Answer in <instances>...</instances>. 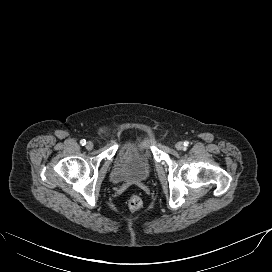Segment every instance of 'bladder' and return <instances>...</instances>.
I'll return each mask as SVG.
<instances>
[{"label":"bladder","mask_w":272,"mask_h":272,"mask_svg":"<svg viewBox=\"0 0 272 272\" xmlns=\"http://www.w3.org/2000/svg\"><path fill=\"white\" fill-rule=\"evenodd\" d=\"M152 175L150 150L141 143L128 142L118 151L111 178L115 183H142Z\"/></svg>","instance_id":"bladder-1"}]
</instances>
